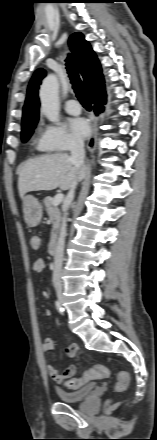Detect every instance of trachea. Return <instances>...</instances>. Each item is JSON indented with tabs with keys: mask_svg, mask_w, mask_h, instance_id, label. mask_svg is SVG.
Returning a JSON list of instances; mask_svg holds the SVG:
<instances>
[{
	"mask_svg": "<svg viewBox=\"0 0 157 440\" xmlns=\"http://www.w3.org/2000/svg\"><path fill=\"white\" fill-rule=\"evenodd\" d=\"M66 68H67L68 75L71 80L72 87L74 89V92H75L77 98L79 99L81 104L88 111H90L91 110V103L89 100L88 93L86 91V88H85L83 82L81 81V79L79 77L75 61L71 55H69L66 59Z\"/></svg>",
	"mask_w": 157,
	"mask_h": 440,
	"instance_id": "trachea-1",
	"label": "trachea"
}]
</instances>
